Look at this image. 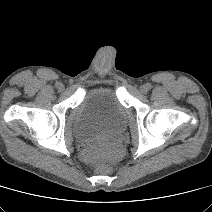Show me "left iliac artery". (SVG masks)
<instances>
[{"instance_id":"44dca946","label":"left iliac artery","mask_w":212,"mask_h":212,"mask_svg":"<svg viewBox=\"0 0 212 212\" xmlns=\"http://www.w3.org/2000/svg\"><path fill=\"white\" fill-rule=\"evenodd\" d=\"M147 88H148V89H150V88H151V85H150V84H148V85H147Z\"/></svg>"}]
</instances>
